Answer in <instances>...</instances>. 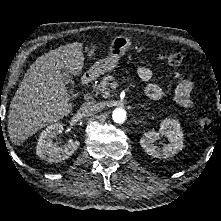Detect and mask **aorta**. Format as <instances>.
I'll return each mask as SVG.
<instances>
[{"label": "aorta", "mask_w": 221, "mask_h": 221, "mask_svg": "<svg viewBox=\"0 0 221 221\" xmlns=\"http://www.w3.org/2000/svg\"><path fill=\"white\" fill-rule=\"evenodd\" d=\"M126 117V111L122 108H116L112 113L113 121L116 123H123Z\"/></svg>", "instance_id": "1"}]
</instances>
